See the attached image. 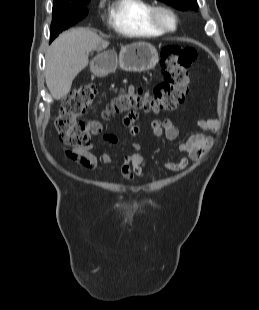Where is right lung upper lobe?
Masks as SVG:
<instances>
[{"instance_id":"obj_1","label":"right lung upper lobe","mask_w":259,"mask_h":310,"mask_svg":"<svg viewBox=\"0 0 259 310\" xmlns=\"http://www.w3.org/2000/svg\"><path fill=\"white\" fill-rule=\"evenodd\" d=\"M84 1L87 0H54L53 2V8H61L66 6H74L82 4Z\"/></svg>"}]
</instances>
